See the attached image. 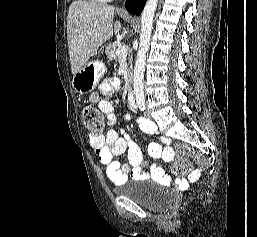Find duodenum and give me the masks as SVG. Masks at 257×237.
I'll return each mask as SVG.
<instances>
[{"mask_svg":"<svg viewBox=\"0 0 257 237\" xmlns=\"http://www.w3.org/2000/svg\"><path fill=\"white\" fill-rule=\"evenodd\" d=\"M128 101L132 107L136 106L135 94L133 89H129L127 93Z\"/></svg>","mask_w":257,"mask_h":237,"instance_id":"1","label":"duodenum"}]
</instances>
